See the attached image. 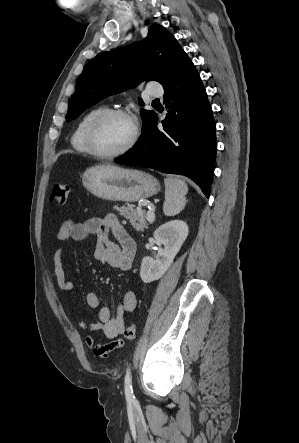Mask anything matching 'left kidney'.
I'll use <instances>...</instances> for the list:
<instances>
[{
    "mask_svg": "<svg viewBox=\"0 0 299 443\" xmlns=\"http://www.w3.org/2000/svg\"><path fill=\"white\" fill-rule=\"evenodd\" d=\"M189 228L182 220H173L161 225L155 232V240L164 245L160 257L153 259L143 258L140 268V277L144 283L160 279L173 263L176 254L186 240Z\"/></svg>",
    "mask_w": 299,
    "mask_h": 443,
    "instance_id": "5707ae66",
    "label": "left kidney"
}]
</instances>
